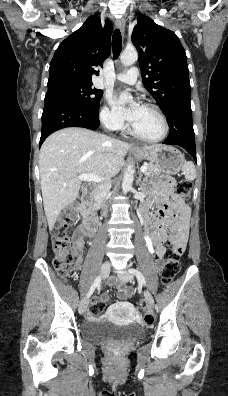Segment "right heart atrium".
Returning a JSON list of instances; mask_svg holds the SVG:
<instances>
[{
  "instance_id": "right-heart-atrium-1",
  "label": "right heart atrium",
  "mask_w": 228,
  "mask_h": 396,
  "mask_svg": "<svg viewBox=\"0 0 228 396\" xmlns=\"http://www.w3.org/2000/svg\"><path fill=\"white\" fill-rule=\"evenodd\" d=\"M100 121L105 128L113 131L120 130L124 126L123 120L111 110L108 103H105L100 111Z\"/></svg>"
}]
</instances>
